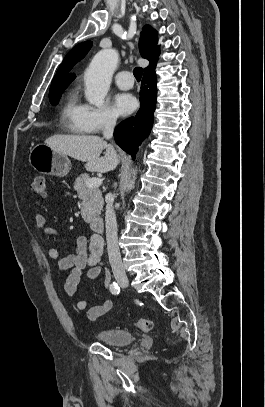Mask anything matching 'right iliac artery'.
Listing matches in <instances>:
<instances>
[{"label": "right iliac artery", "instance_id": "obj_1", "mask_svg": "<svg viewBox=\"0 0 265 407\" xmlns=\"http://www.w3.org/2000/svg\"><path fill=\"white\" fill-rule=\"evenodd\" d=\"M110 291L112 294L118 295L120 293V287L117 283L113 282V284L110 285Z\"/></svg>", "mask_w": 265, "mask_h": 407}]
</instances>
